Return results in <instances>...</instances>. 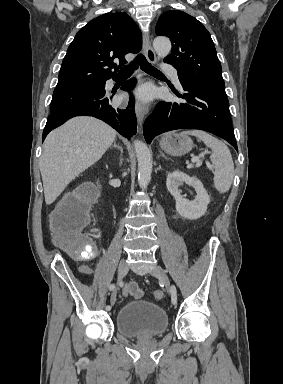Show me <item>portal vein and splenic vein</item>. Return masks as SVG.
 <instances>
[{
  "mask_svg": "<svg viewBox=\"0 0 283 384\" xmlns=\"http://www.w3.org/2000/svg\"><path fill=\"white\" fill-rule=\"evenodd\" d=\"M192 164H194V162H197V168H199V166H202V162L200 160V158H192L191 160ZM206 166L207 168H209V170H212L213 166H211V164H209V162H206Z\"/></svg>",
  "mask_w": 283,
  "mask_h": 384,
  "instance_id": "portal-vein-and-splenic-vein-1",
  "label": "portal vein and splenic vein"
}]
</instances>
